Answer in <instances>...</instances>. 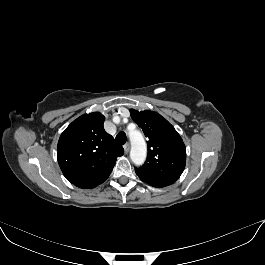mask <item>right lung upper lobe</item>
<instances>
[{
  "label": "right lung upper lobe",
  "mask_w": 265,
  "mask_h": 265,
  "mask_svg": "<svg viewBox=\"0 0 265 265\" xmlns=\"http://www.w3.org/2000/svg\"><path fill=\"white\" fill-rule=\"evenodd\" d=\"M105 117L99 112L84 114L61 134L57 158L64 176L75 186L94 188L110 175L122 146L105 132Z\"/></svg>",
  "instance_id": "cb5924a9"
}]
</instances>
